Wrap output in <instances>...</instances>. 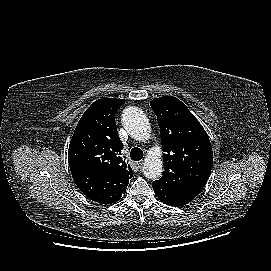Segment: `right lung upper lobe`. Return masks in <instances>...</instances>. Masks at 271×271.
<instances>
[{
  "label": "right lung upper lobe",
  "instance_id": "obj_1",
  "mask_svg": "<svg viewBox=\"0 0 271 271\" xmlns=\"http://www.w3.org/2000/svg\"><path fill=\"white\" fill-rule=\"evenodd\" d=\"M124 99L96 100L79 120L68 150L72 170H91L116 176L129 183L133 171L121 157L123 149L115 122V113Z\"/></svg>",
  "mask_w": 271,
  "mask_h": 271
}]
</instances>
